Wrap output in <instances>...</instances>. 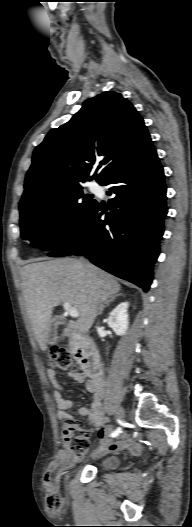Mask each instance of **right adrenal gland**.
<instances>
[{"mask_svg":"<svg viewBox=\"0 0 192 527\" xmlns=\"http://www.w3.org/2000/svg\"><path fill=\"white\" fill-rule=\"evenodd\" d=\"M122 296L121 293L114 295L110 299L104 302V304L99 306L98 315L102 314L103 310L110 305L117 297Z\"/></svg>","mask_w":192,"mask_h":527,"instance_id":"1","label":"right adrenal gland"}]
</instances>
